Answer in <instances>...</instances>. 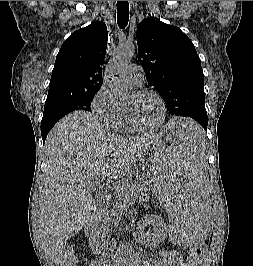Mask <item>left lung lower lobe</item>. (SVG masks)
I'll return each mask as SVG.
<instances>
[{
  "instance_id": "1",
  "label": "left lung lower lobe",
  "mask_w": 253,
  "mask_h": 266,
  "mask_svg": "<svg viewBox=\"0 0 253 266\" xmlns=\"http://www.w3.org/2000/svg\"><path fill=\"white\" fill-rule=\"evenodd\" d=\"M205 130H207V126L206 127H203Z\"/></svg>"
}]
</instances>
